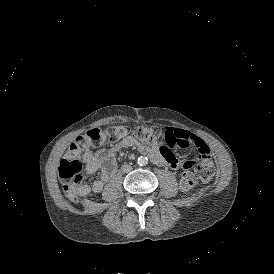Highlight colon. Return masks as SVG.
<instances>
[{
	"instance_id": "1",
	"label": "colon",
	"mask_w": 274,
	"mask_h": 274,
	"mask_svg": "<svg viewBox=\"0 0 274 274\" xmlns=\"http://www.w3.org/2000/svg\"><path fill=\"white\" fill-rule=\"evenodd\" d=\"M103 133L107 141L112 143L120 141L127 133V128L125 126L108 128ZM133 134L137 139L147 143L165 142L166 140L165 128L161 127H135ZM99 147V134H82L68 146L65 156L61 159L58 172L62 180L63 191L71 201H77L85 181L82 163L79 159L80 149H99ZM198 181L194 174H183L181 180L182 186L189 191L195 189Z\"/></svg>"
}]
</instances>
